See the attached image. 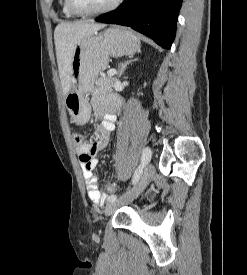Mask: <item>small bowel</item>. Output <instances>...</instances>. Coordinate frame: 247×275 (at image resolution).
Instances as JSON below:
<instances>
[{"instance_id":"small-bowel-1","label":"small bowel","mask_w":247,"mask_h":275,"mask_svg":"<svg viewBox=\"0 0 247 275\" xmlns=\"http://www.w3.org/2000/svg\"><path fill=\"white\" fill-rule=\"evenodd\" d=\"M119 100L108 94L97 95L92 99V107L97 116L104 119L99 127V136L92 143H84L78 147L79 161L82 166L83 177L86 182L88 196L93 203L100 204L106 200V194L99 190L94 170L98 165L96 155L110 142L111 133L115 129L117 115L111 110L117 108Z\"/></svg>"}]
</instances>
